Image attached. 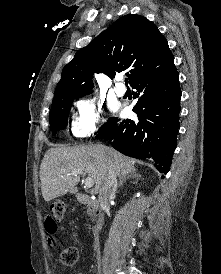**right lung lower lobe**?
I'll return each mask as SVG.
<instances>
[{
	"instance_id": "98d812e1",
	"label": "right lung lower lobe",
	"mask_w": 221,
	"mask_h": 274,
	"mask_svg": "<svg viewBox=\"0 0 221 274\" xmlns=\"http://www.w3.org/2000/svg\"><path fill=\"white\" fill-rule=\"evenodd\" d=\"M131 86L138 98L133 108L138 119L112 118L96 138L112 141L119 152L151 161L167 174L176 148L181 97L174 58Z\"/></svg>"
}]
</instances>
